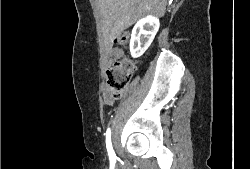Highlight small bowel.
<instances>
[{
	"instance_id": "1",
	"label": "small bowel",
	"mask_w": 250,
	"mask_h": 169,
	"mask_svg": "<svg viewBox=\"0 0 250 169\" xmlns=\"http://www.w3.org/2000/svg\"><path fill=\"white\" fill-rule=\"evenodd\" d=\"M109 55L110 57L112 58L110 61H109V65H112L113 62L118 59L121 55V51L119 48L117 47H113L109 50ZM102 97H103V100L104 102L107 104V105H112L115 101V98L111 96V94L109 93V90H108V87H105L103 89V93H102Z\"/></svg>"
}]
</instances>
